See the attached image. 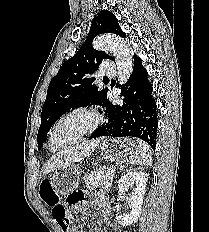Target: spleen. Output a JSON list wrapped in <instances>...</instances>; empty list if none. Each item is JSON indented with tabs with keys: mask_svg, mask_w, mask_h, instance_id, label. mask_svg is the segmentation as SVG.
<instances>
[{
	"mask_svg": "<svg viewBox=\"0 0 209 232\" xmlns=\"http://www.w3.org/2000/svg\"><path fill=\"white\" fill-rule=\"evenodd\" d=\"M137 143L135 152L130 155L131 163L140 166H151L152 156L149 146L141 140H137Z\"/></svg>",
	"mask_w": 209,
	"mask_h": 232,
	"instance_id": "1",
	"label": "spleen"
}]
</instances>
